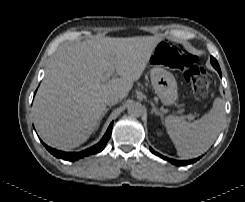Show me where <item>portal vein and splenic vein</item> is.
Instances as JSON below:
<instances>
[{
	"label": "portal vein and splenic vein",
	"mask_w": 245,
	"mask_h": 202,
	"mask_svg": "<svg viewBox=\"0 0 245 202\" xmlns=\"http://www.w3.org/2000/svg\"><path fill=\"white\" fill-rule=\"evenodd\" d=\"M113 73H114V67L113 66H110L108 68L106 74H105L104 79H109ZM184 118H186L188 120H193V116H191V115L185 116Z\"/></svg>",
	"instance_id": "1"
}]
</instances>
